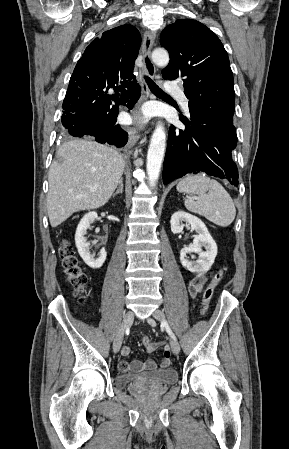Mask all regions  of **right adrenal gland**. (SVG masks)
<instances>
[{"instance_id": "right-adrenal-gland-1", "label": "right adrenal gland", "mask_w": 289, "mask_h": 449, "mask_svg": "<svg viewBox=\"0 0 289 449\" xmlns=\"http://www.w3.org/2000/svg\"><path fill=\"white\" fill-rule=\"evenodd\" d=\"M123 189H124V184H123V180L121 179L118 183V188L115 191V193H113V197H115L118 194H122L123 193Z\"/></svg>"}]
</instances>
